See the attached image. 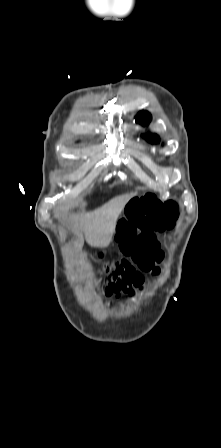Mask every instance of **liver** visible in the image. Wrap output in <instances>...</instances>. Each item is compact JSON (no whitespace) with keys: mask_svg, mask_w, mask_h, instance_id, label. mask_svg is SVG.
Returning a JSON list of instances; mask_svg holds the SVG:
<instances>
[{"mask_svg":"<svg viewBox=\"0 0 221 448\" xmlns=\"http://www.w3.org/2000/svg\"><path fill=\"white\" fill-rule=\"evenodd\" d=\"M134 195L126 194L116 197L99 209L81 217L80 224L89 245L104 248L111 243L115 234L116 221ZM78 247L81 248V244Z\"/></svg>","mask_w":221,"mask_h":448,"instance_id":"1","label":"liver"}]
</instances>
